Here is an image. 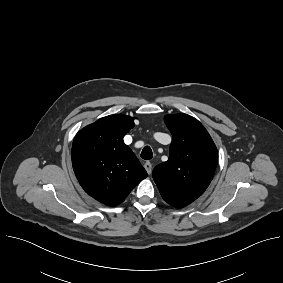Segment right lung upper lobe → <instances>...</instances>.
Here are the masks:
<instances>
[{"label": "right lung upper lobe", "instance_id": "obj_1", "mask_svg": "<svg viewBox=\"0 0 283 283\" xmlns=\"http://www.w3.org/2000/svg\"><path fill=\"white\" fill-rule=\"evenodd\" d=\"M135 126L132 117H103L80 130L72 145V165L85 192L108 206L122 203L147 172L123 137Z\"/></svg>", "mask_w": 283, "mask_h": 283}]
</instances>
